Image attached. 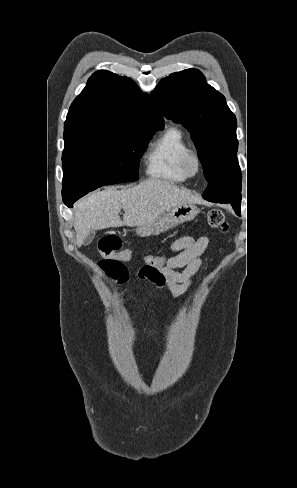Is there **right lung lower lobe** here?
Instances as JSON below:
<instances>
[{
  "label": "right lung lower lobe",
  "instance_id": "obj_1",
  "mask_svg": "<svg viewBox=\"0 0 297 488\" xmlns=\"http://www.w3.org/2000/svg\"><path fill=\"white\" fill-rule=\"evenodd\" d=\"M66 206H68V207H70V208L72 207V205H66Z\"/></svg>",
  "mask_w": 297,
  "mask_h": 488
}]
</instances>
